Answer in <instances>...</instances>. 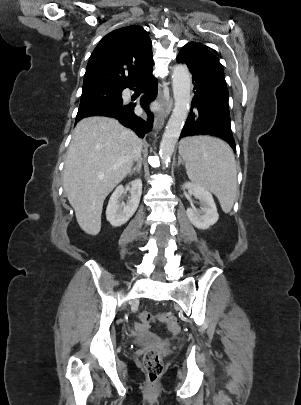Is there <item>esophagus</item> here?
<instances>
[{"label":"esophagus","mask_w":301,"mask_h":405,"mask_svg":"<svg viewBox=\"0 0 301 405\" xmlns=\"http://www.w3.org/2000/svg\"><path fill=\"white\" fill-rule=\"evenodd\" d=\"M159 99L162 101L161 111L156 115L154 121V127L161 128L164 123V118L170 113L173 107V101L171 98H164L161 92L158 93Z\"/></svg>","instance_id":"obj_1"}]
</instances>
